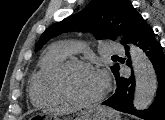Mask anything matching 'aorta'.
Listing matches in <instances>:
<instances>
[{
	"label": "aorta",
	"mask_w": 165,
	"mask_h": 120,
	"mask_svg": "<svg viewBox=\"0 0 165 120\" xmlns=\"http://www.w3.org/2000/svg\"><path fill=\"white\" fill-rule=\"evenodd\" d=\"M130 56L136 82L133 105L137 110H143L152 103L155 96L156 73L150 60L140 48L131 45Z\"/></svg>",
	"instance_id": "aorta-1"
}]
</instances>
